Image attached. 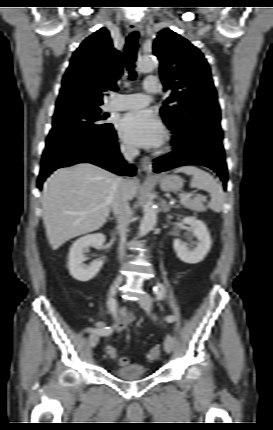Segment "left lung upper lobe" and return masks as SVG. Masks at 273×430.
I'll use <instances>...</instances> for the list:
<instances>
[{"label":"left lung upper lobe","instance_id":"obj_1","mask_svg":"<svg viewBox=\"0 0 273 430\" xmlns=\"http://www.w3.org/2000/svg\"><path fill=\"white\" fill-rule=\"evenodd\" d=\"M153 53L160 60L164 88L172 91L160 113L173 133L203 115L220 120L210 68L200 50L172 30L164 29L154 41Z\"/></svg>","mask_w":273,"mask_h":430}]
</instances>
